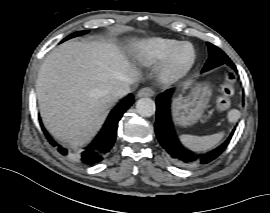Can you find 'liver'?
<instances>
[{"label": "liver", "mask_w": 270, "mask_h": 213, "mask_svg": "<svg viewBox=\"0 0 270 213\" xmlns=\"http://www.w3.org/2000/svg\"><path fill=\"white\" fill-rule=\"evenodd\" d=\"M137 78V70L110 41L61 44L44 60L36 82L46 128L72 147L84 145L117 100L111 90Z\"/></svg>", "instance_id": "liver-1"}]
</instances>
